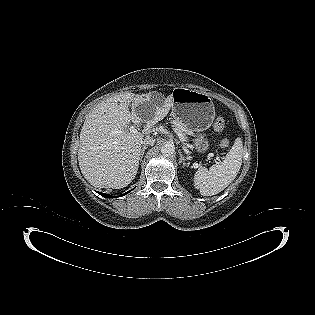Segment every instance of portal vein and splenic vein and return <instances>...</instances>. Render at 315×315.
Returning <instances> with one entry per match:
<instances>
[{"instance_id":"obj_1","label":"portal vein and splenic vein","mask_w":315,"mask_h":315,"mask_svg":"<svg viewBox=\"0 0 315 315\" xmlns=\"http://www.w3.org/2000/svg\"><path fill=\"white\" fill-rule=\"evenodd\" d=\"M130 131L133 132V133H136V132H137V129H136L134 126H131V127H130ZM175 132L177 133V135H178V137L180 138L181 141H185L183 134H182L180 131H178V129H176ZM117 133H119V132H117ZM183 144H185V143H183ZM183 149H184V151H185L186 153H188V150H187L186 147H183ZM211 155H212V154H211Z\"/></svg>"}]
</instances>
